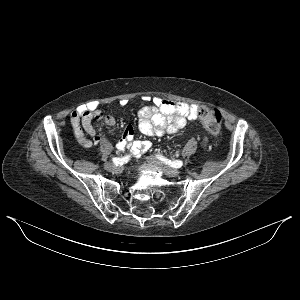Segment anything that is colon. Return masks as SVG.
Listing matches in <instances>:
<instances>
[{
  "label": "colon",
  "instance_id": "obj_1",
  "mask_svg": "<svg viewBox=\"0 0 300 300\" xmlns=\"http://www.w3.org/2000/svg\"><path fill=\"white\" fill-rule=\"evenodd\" d=\"M196 115L210 133H219L222 124V114L219 110H210L201 105L197 106Z\"/></svg>",
  "mask_w": 300,
  "mask_h": 300
}]
</instances>
